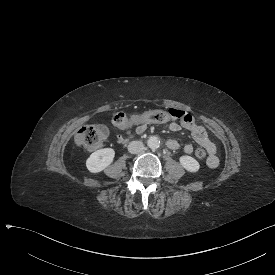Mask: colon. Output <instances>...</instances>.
<instances>
[{"instance_id": "colon-1", "label": "colon", "mask_w": 275, "mask_h": 275, "mask_svg": "<svg viewBox=\"0 0 275 275\" xmlns=\"http://www.w3.org/2000/svg\"><path fill=\"white\" fill-rule=\"evenodd\" d=\"M170 115L166 111H149L147 113H136L134 115L116 116L111 121V129L115 131H121L125 129V126L139 123H168L167 119ZM109 136V130L103 124H96L82 127L76 136L77 144L85 150H98L102 147L103 143ZM196 157L203 159L206 156V152L203 148H197L195 150Z\"/></svg>"}]
</instances>
